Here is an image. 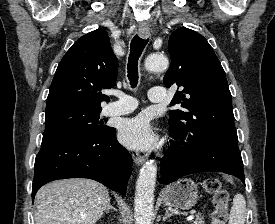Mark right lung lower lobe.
Masks as SVG:
<instances>
[{
  "label": "right lung lower lobe",
  "instance_id": "98d812e1",
  "mask_svg": "<svg viewBox=\"0 0 275 224\" xmlns=\"http://www.w3.org/2000/svg\"><path fill=\"white\" fill-rule=\"evenodd\" d=\"M115 128L100 136L49 134L36 156L32 200L44 184L65 178H89L125 195L132 172L128 151L116 139Z\"/></svg>",
  "mask_w": 275,
  "mask_h": 224
}]
</instances>
